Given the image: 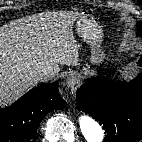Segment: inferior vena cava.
Wrapping results in <instances>:
<instances>
[{"instance_id":"1","label":"inferior vena cava","mask_w":142,"mask_h":142,"mask_svg":"<svg viewBox=\"0 0 142 142\" xmlns=\"http://www.w3.org/2000/svg\"><path fill=\"white\" fill-rule=\"evenodd\" d=\"M55 72L50 67H42L36 72V76L39 80H47L55 76Z\"/></svg>"}]
</instances>
